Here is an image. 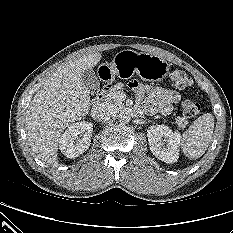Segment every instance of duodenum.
<instances>
[{"label": "duodenum", "mask_w": 233, "mask_h": 233, "mask_svg": "<svg viewBox=\"0 0 233 233\" xmlns=\"http://www.w3.org/2000/svg\"><path fill=\"white\" fill-rule=\"evenodd\" d=\"M109 88H110V84H108V83L103 86V88L97 94V96L95 97V99L93 101L94 105H98L99 103L102 102V100L104 99V96H105L106 92L109 90Z\"/></svg>", "instance_id": "410a0bca"}]
</instances>
